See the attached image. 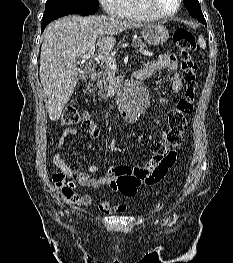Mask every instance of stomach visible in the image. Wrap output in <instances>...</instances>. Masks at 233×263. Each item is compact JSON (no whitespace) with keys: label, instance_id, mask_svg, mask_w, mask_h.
Instances as JSON below:
<instances>
[{"label":"stomach","instance_id":"0dacf381","mask_svg":"<svg viewBox=\"0 0 233 263\" xmlns=\"http://www.w3.org/2000/svg\"><path fill=\"white\" fill-rule=\"evenodd\" d=\"M142 38L148 45L159 46L169 38L168 30L160 24H150L141 31Z\"/></svg>","mask_w":233,"mask_h":263}]
</instances>
